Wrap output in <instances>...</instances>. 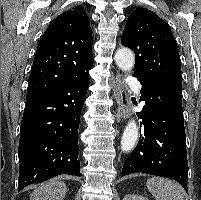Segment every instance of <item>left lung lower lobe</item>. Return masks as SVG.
Here are the masks:
<instances>
[{"mask_svg":"<svg viewBox=\"0 0 201 200\" xmlns=\"http://www.w3.org/2000/svg\"><path fill=\"white\" fill-rule=\"evenodd\" d=\"M138 117L143 131L126 159L122 176L142 172L176 180L188 193V162L182 109V82L163 80L141 83Z\"/></svg>","mask_w":201,"mask_h":200,"instance_id":"obj_1","label":"left lung lower lobe"}]
</instances>
